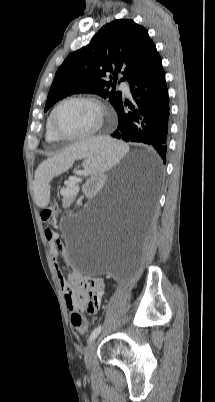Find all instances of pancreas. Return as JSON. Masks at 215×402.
<instances>
[{
	"instance_id": "1",
	"label": "pancreas",
	"mask_w": 215,
	"mask_h": 402,
	"mask_svg": "<svg viewBox=\"0 0 215 402\" xmlns=\"http://www.w3.org/2000/svg\"><path fill=\"white\" fill-rule=\"evenodd\" d=\"M75 190V189H77V186L76 185H68L67 186V190Z\"/></svg>"
}]
</instances>
